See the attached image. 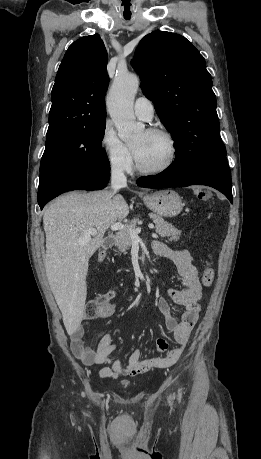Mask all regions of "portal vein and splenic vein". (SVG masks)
Listing matches in <instances>:
<instances>
[{"mask_svg":"<svg viewBox=\"0 0 261 459\" xmlns=\"http://www.w3.org/2000/svg\"><path fill=\"white\" fill-rule=\"evenodd\" d=\"M148 227L150 229H153L154 225L153 224H149ZM110 228L113 231L123 230L125 228V225L120 223V222H117V223L112 224ZM140 231H141V228L130 229L129 230V234H130L132 239H139L138 234L140 233ZM95 234H96V229H94V228H91L88 231H86L84 236L78 239L79 245H81V246L86 245L89 242L91 236H93Z\"/></svg>","mask_w":261,"mask_h":459,"instance_id":"18ae733b","label":"portal vein and splenic vein"}]
</instances>
